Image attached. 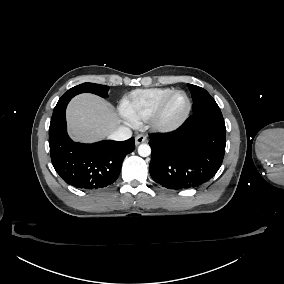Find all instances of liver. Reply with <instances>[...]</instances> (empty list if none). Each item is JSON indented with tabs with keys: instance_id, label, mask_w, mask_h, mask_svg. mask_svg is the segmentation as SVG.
Here are the masks:
<instances>
[{
	"instance_id": "liver-1",
	"label": "liver",
	"mask_w": 284,
	"mask_h": 284,
	"mask_svg": "<svg viewBox=\"0 0 284 284\" xmlns=\"http://www.w3.org/2000/svg\"><path fill=\"white\" fill-rule=\"evenodd\" d=\"M67 117L72 135L84 140L105 137L117 123L111 105L90 94L75 97L68 107Z\"/></svg>"
}]
</instances>
